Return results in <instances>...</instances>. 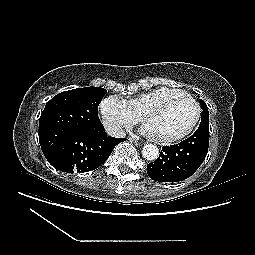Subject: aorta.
<instances>
[{"label":"aorta","mask_w":255,"mask_h":255,"mask_svg":"<svg viewBox=\"0 0 255 255\" xmlns=\"http://www.w3.org/2000/svg\"><path fill=\"white\" fill-rule=\"evenodd\" d=\"M142 155L146 160L154 161L159 156V149L154 144H146L142 148Z\"/></svg>","instance_id":"762f6f07"}]
</instances>
